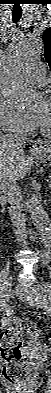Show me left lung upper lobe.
Instances as JSON below:
<instances>
[{"label": "left lung upper lobe", "mask_w": 51, "mask_h": 393, "mask_svg": "<svg viewBox=\"0 0 51 393\" xmlns=\"http://www.w3.org/2000/svg\"><path fill=\"white\" fill-rule=\"evenodd\" d=\"M42 38L44 41V55L51 68V27L44 31Z\"/></svg>", "instance_id": "5c2ea615"}]
</instances>
